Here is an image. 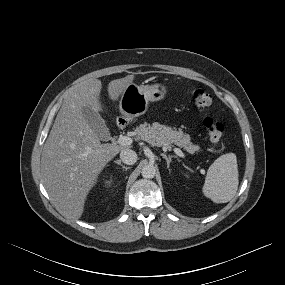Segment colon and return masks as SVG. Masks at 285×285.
Returning a JSON list of instances; mask_svg holds the SVG:
<instances>
[{
    "mask_svg": "<svg viewBox=\"0 0 285 285\" xmlns=\"http://www.w3.org/2000/svg\"><path fill=\"white\" fill-rule=\"evenodd\" d=\"M214 103V97L208 91L197 88L192 92V105L196 110H204ZM207 137L212 144H217L224 131L222 122L211 117H206L203 121Z\"/></svg>",
    "mask_w": 285,
    "mask_h": 285,
    "instance_id": "obj_1",
    "label": "colon"
}]
</instances>
